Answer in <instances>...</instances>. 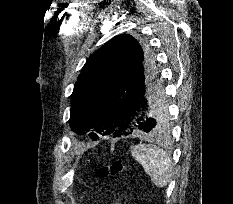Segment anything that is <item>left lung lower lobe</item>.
<instances>
[{
	"mask_svg": "<svg viewBox=\"0 0 233 204\" xmlns=\"http://www.w3.org/2000/svg\"><path fill=\"white\" fill-rule=\"evenodd\" d=\"M162 94L163 87L153 61L144 65L142 73L137 72L119 104L117 118L122 135L161 132L155 109Z\"/></svg>",
	"mask_w": 233,
	"mask_h": 204,
	"instance_id": "1",
	"label": "left lung lower lobe"
}]
</instances>
